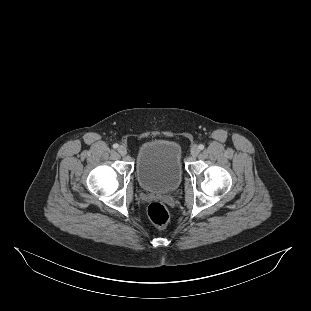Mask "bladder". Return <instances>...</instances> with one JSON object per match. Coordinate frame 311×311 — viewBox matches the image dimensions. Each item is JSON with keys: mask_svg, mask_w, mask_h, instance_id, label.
Here are the masks:
<instances>
[{"mask_svg": "<svg viewBox=\"0 0 311 311\" xmlns=\"http://www.w3.org/2000/svg\"><path fill=\"white\" fill-rule=\"evenodd\" d=\"M136 176L140 187L152 193L176 190L182 181V150L170 139H152L143 143L136 159Z\"/></svg>", "mask_w": 311, "mask_h": 311, "instance_id": "bladder-1", "label": "bladder"}]
</instances>
